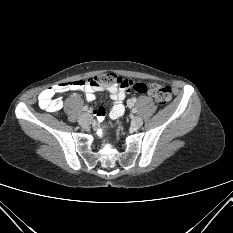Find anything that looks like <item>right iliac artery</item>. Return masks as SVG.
I'll return each mask as SVG.
<instances>
[{"instance_id":"right-iliac-artery-1","label":"right iliac artery","mask_w":233,"mask_h":233,"mask_svg":"<svg viewBox=\"0 0 233 233\" xmlns=\"http://www.w3.org/2000/svg\"><path fill=\"white\" fill-rule=\"evenodd\" d=\"M83 110H84V111H88L89 113L91 112L90 110H88V107H87V106L83 107Z\"/></svg>"}]
</instances>
